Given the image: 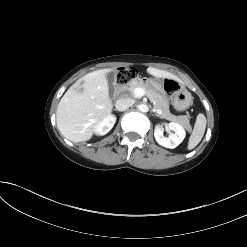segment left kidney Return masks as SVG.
Masks as SVG:
<instances>
[{"label": "left kidney", "mask_w": 247, "mask_h": 247, "mask_svg": "<svg viewBox=\"0 0 247 247\" xmlns=\"http://www.w3.org/2000/svg\"><path fill=\"white\" fill-rule=\"evenodd\" d=\"M167 126L175 133H170L169 137L166 138L163 135V129L159 125H157L154 130V137L159 145L166 148L174 149L184 140L186 132L180 124L175 122H171Z\"/></svg>", "instance_id": "1"}]
</instances>
